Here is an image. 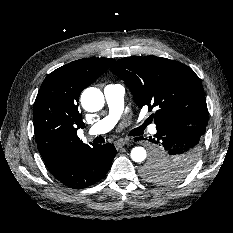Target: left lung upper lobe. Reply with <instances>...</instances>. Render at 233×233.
Instances as JSON below:
<instances>
[{"label": "left lung upper lobe", "mask_w": 233, "mask_h": 233, "mask_svg": "<svg viewBox=\"0 0 233 233\" xmlns=\"http://www.w3.org/2000/svg\"><path fill=\"white\" fill-rule=\"evenodd\" d=\"M111 71L129 87L139 108L155 109L150 116L156 129L178 126L205 128L208 109L199 77L185 64L156 56L126 57L117 61ZM150 161L143 176L170 183L185 177L192 167L173 168Z\"/></svg>", "instance_id": "5c2ea615"}]
</instances>
